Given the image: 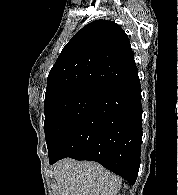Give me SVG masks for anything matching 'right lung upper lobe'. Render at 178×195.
Masks as SVG:
<instances>
[{"label":"right lung upper lobe","mask_w":178,"mask_h":195,"mask_svg":"<svg viewBox=\"0 0 178 195\" xmlns=\"http://www.w3.org/2000/svg\"><path fill=\"white\" fill-rule=\"evenodd\" d=\"M136 73L128 36L115 22L97 20L63 48L49 73L45 100L77 90L99 92Z\"/></svg>","instance_id":"obj_1"}]
</instances>
